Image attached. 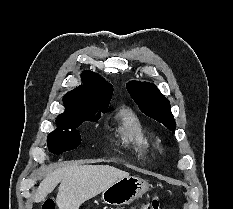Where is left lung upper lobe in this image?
Returning <instances> with one entry per match:
<instances>
[{
  "instance_id": "5c2ea615",
  "label": "left lung upper lobe",
  "mask_w": 233,
  "mask_h": 209,
  "mask_svg": "<svg viewBox=\"0 0 233 209\" xmlns=\"http://www.w3.org/2000/svg\"><path fill=\"white\" fill-rule=\"evenodd\" d=\"M126 86L131 97L145 115L164 124L171 131L175 130L176 123L170 109V102L155 85L130 81Z\"/></svg>"
}]
</instances>
